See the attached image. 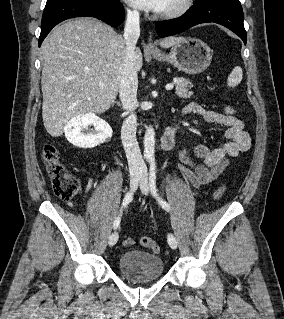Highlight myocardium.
Here are the masks:
<instances>
[{"label": "myocardium", "mask_w": 284, "mask_h": 319, "mask_svg": "<svg viewBox=\"0 0 284 319\" xmlns=\"http://www.w3.org/2000/svg\"><path fill=\"white\" fill-rule=\"evenodd\" d=\"M192 4L193 0H180L179 3L173 8L164 12H160L158 17L162 19H174L181 17L190 10Z\"/></svg>", "instance_id": "obj_1"}]
</instances>
